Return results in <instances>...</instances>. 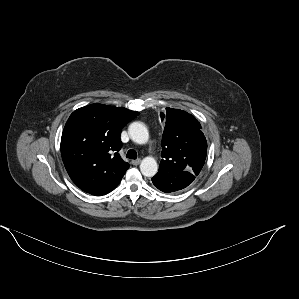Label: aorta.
<instances>
[{
	"instance_id": "aorta-1",
	"label": "aorta",
	"mask_w": 299,
	"mask_h": 299,
	"mask_svg": "<svg viewBox=\"0 0 299 299\" xmlns=\"http://www.w3.org/2000/svg\"><path fill=\"white\" fill-rule=\"evenodd\" d=\"M129 135L137 144H145L149 140V132L142 122H133L129 126ZM158 170V165L153 157H145L140 164V171L146 177H153Z\"/></svg>"
}]
</instances>
